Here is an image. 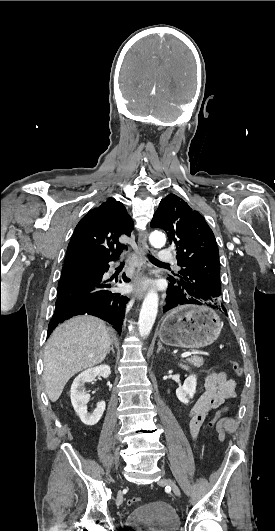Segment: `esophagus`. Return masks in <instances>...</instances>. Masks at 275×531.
I'll return each mask as SVG.
<instances>
[{"label":"esophagus","mask_w":275,"mask_h":531,"mask_svg":"<svg viewBox=\"0 0 275 531\" xmlns=\"http://www.w3.org/2000/svg\"><path fill=\"white\" fill-rule=\"evenodd\" d=\"M147 238H148V232L145 230H142L139 232L138 235V248L140 253V261L139 266L137 267V274L135 279L132 282L133 286V294L136 296L137 299H142L145 295L146 287H147V280H146V267H147V259H146V252H147Z\"/></svg>","instance_id":"1"}]
</instances>
